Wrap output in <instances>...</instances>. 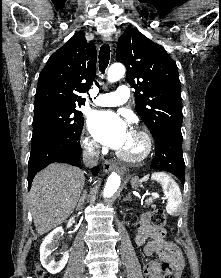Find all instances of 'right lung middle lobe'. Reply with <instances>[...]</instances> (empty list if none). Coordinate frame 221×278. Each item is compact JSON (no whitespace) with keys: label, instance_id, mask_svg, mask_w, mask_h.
<instances>
[{"label":"right lung middle lobe","instance_id":"obj_1","mask_svg":"<svg viewBox=\"0 0 221 278\" xmlns=\"http://www.w3.org/2000/svg\"><path fill=\"white\" fill-rule=\"evenodd\" d=\"M77 108V106L61 104L35 106L31 142L49 134L81 133L84 118Z\"/></svg>","mask_w":221,"mask_h":278}]
</instances>
